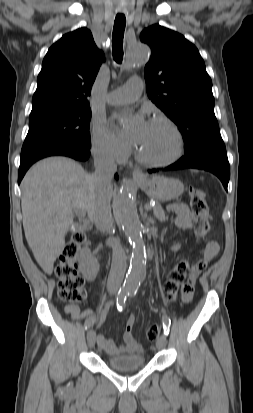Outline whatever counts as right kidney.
Returning <instances> with one entry per match:
<instances>
[{
	"label": "right kidney",
	"instance_id": "right-kidney-1",
	"mask_svg": "<svg viewBox=\"0 0 253 413\" xmlns=\"http://www.w3.org/2000/svg\"><path fill=\"white\" fill-rule=\"evenodd\" d=\"M80 271L85 279L93 281L99 271V264L96 257L90 250L84 249L79 254Z\"/></svg>",
	"mask_w": 253,
	"mask_h": 413
}]
</instances>
